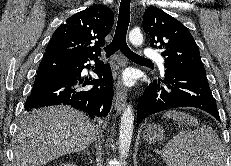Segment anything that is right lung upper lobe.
I'll list each match as a JSON object with an SVG mask.
<instances>
[{
  "mask_svg": "<svg viewBox=\"0 0 231 166\" xmlns=\"http://www.w3.org/2000/svg\"><path fill=\"white\" fill-rule=\"evenodd\" d=\"M113 22V11L105 5H94L76 13L56 29L45 54L70 58L98 57Z\"/></svg>",
  "mask_w": 231,
  "mask_h": 166,
  "instance_id": "1",
  "label": "right lung upper lobe"
}]
</instances>
